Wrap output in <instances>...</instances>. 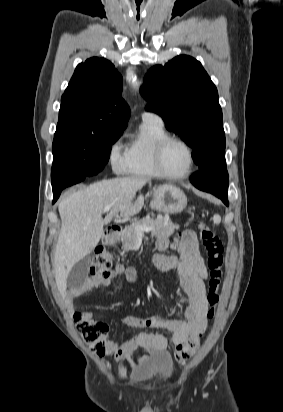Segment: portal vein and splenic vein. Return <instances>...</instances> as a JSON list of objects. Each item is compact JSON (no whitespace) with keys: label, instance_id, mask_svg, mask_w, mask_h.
<instances>
[{"label":"portal vein and splenic vein","instance_id":"portal-vein-and-splenic-vein-1","mask_svg":"<svg viewBox=\"0 0 283 412\" xmlns=\"http://www.w3.org/2000/svg\"><path fill=\"white\" fill-rule=\"evenodd\" d=\"M111 210V206H106L103 209V213H107ZM137 231L139 233L141 232H150V231H154V227H148V226H137Z\"/></svg>","mask_w":283,"mask_h":412}]
</instances>
